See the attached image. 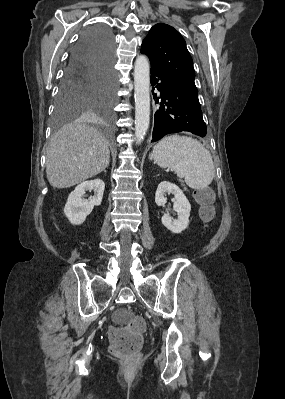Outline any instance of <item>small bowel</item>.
<instances>
[{
    "instance_id": "small-bowel-1",
    "label": "small bowel",
    "mask_w": 285,
    "mask_h": 399,
    "mask_svg": "<svg viewBox=\"0 0 285 399\" xmlns=\"http://www.w3.org/2000/svg\"><path fill=\"white\" fill-rule=\"evenodd\" d=\"M207 191H208V193H210V194H211V190H210V189H207Z\"/></svg>"
}]
</instances>
